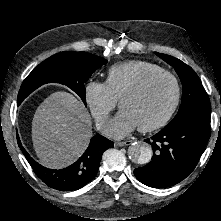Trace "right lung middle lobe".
Listing matches in <instances>:
<instances>
[{
  "label": "right lung middle lobe",
  "instance_id": "1",
  "mask_svg": "<svg viewBox=\"0 0 221 221\" xmlns=\"http://www.w3.org/2000/svg\"><path fill=\"white\" fill-rule=\"evenodd\" d=\"M107 62L86 52H61L39 64L23 81L18 105L32 91L46 83H61L75 91L86 104L84 83L100 66Z\"/></svg>",
  "mask_w": 221,
  "mask_h": 221
}]
</instances>
